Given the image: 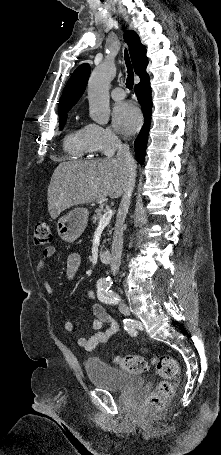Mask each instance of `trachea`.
Here are the masks:
<instances>
[{"label": "trachea", "mask_w": 221, "mask_h": 455, "mask_svg": "<svg viewBox=\"0 0 221 455\" xmlns=\"http://www.w3.org/2000/svg\"><path fill=\"white\" fill-rule=\"evenodd\" d=\"M125 63L127 66V73H128V77L126 80V87L128 89L132 90L133 84H134V73H133L131 61H130V58H129V55H128V52L126 49H125Z\"/></svg>", "instance_id": "3493384b"}]
</instances>
